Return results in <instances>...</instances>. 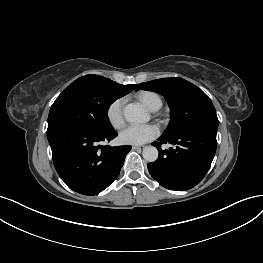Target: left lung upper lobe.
Listing matches in <instances>:
<instances>
[{
	"label": "left lung upper lobe",
	"mask_w": 263,
	"mask_h": 263,
	"mask_svg": "<svg viewBox=\"0 0 263 263\" xmlns=\"http://www.w3.org/2000/svg\"><path fill=\"white\" fill-rule=\"evenodd\" d=\"M161 94L171 109V121L164 137L194 129L218 128V118L210 98L197 86L182 78H164L141 83L136 90Z\"/></svg>",
	"instance_id": "left-lung-upper-lobe-1"
}]
</instances>
